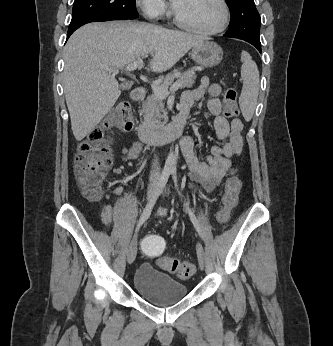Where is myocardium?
I'll return each instance as SVG.
<instances>
[{
	"label": "myocardium",
	"instance_id": "myocardium-1",
	"mask_svg": "<svg viewBox=\"0 0 333 346\" xmlns=\"http://www.w3.org/2000/svg\"><path fill=\"white\" fill-rule=\"evenodd\" d=\"M218 1L221 4L223 9V19L220 25L213 29H202L186 22L183 18L180 17L176 9L173 10L174 21L179 27L194 33H198L201 35H208V36L219 34L223 32L229 25L231 12H230V7L226 0H218Z\"/></svg>",
	"mask_w": 333,
	"mask_h": 346
}]
</instances>
